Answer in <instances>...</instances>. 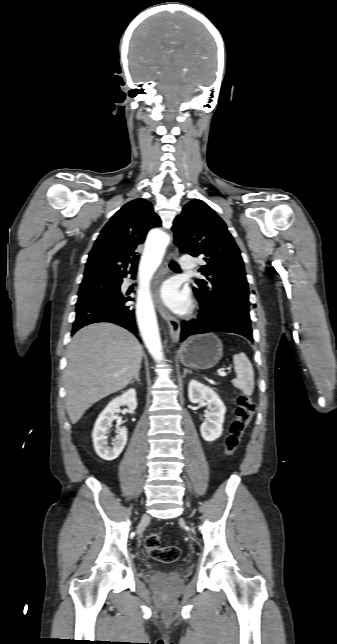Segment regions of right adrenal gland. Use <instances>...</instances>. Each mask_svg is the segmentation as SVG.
<instances>
[{
  "instance_id": "right-adrenal-gland-1",
  "label": "right adrenal gland",
  "mask_w": 337,
  "mask_h": 644,
  "mask_svg": "<svg viewBox=\"0 0 337 644\" xmlns=\"http://www.w3.org/2000/svg\"><path fill=\"white\" fill-rule=\"evenodd\" d=\"M135 381H138V382L140 383L139 372H137V374L135 375V377L133 378V380L131 381V383H133V382H135Z\"/></svg>"
}]
</instances>
